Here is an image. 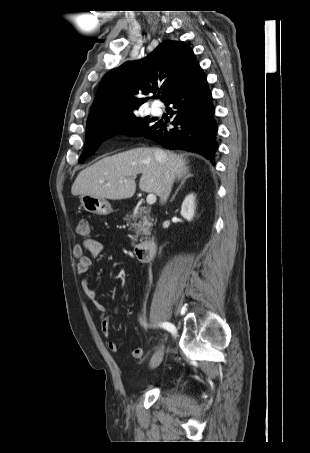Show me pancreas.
<instances>
[{
    "label": "pancreas",
    "instance_id": "1",
    "mask_svg": "<svg viewBox=\"0 0 310 453\" xmlns=\"http://www.w3.org/2000/svg\"><path fill=\"white\" fill-rule=\"evenodd\" d=\"M149 213L145 207H140L134 210L133 213L126 214L123 218L127 222L130 230L135 233V235L131 236L133 242L138 241L139 235H150L152 222Z\"/></svg>",
    "mask_w": 310,
    "mask_h": 453
}]
</instances>
